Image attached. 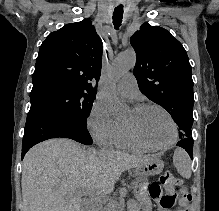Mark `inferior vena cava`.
I'll return each instance as SVG.
<instances>
[{
  "label": "inferior vena cava",
  "instance_id": "602c4592",
  "mask_svg": "<svg viewBox=\"0 0 219 211\" xmlns=\"http://www.w3.org/2000/svg\"><path fill=\"white\" fill-rule=\"evenodd\" d=\"M100 151H107V149H104V147H101ZM83 211H94L93 208H84Z\"/></svg>",
  "mask_w": 219,
  "mask_h": 211
}]
</instances>
